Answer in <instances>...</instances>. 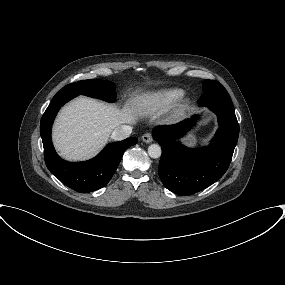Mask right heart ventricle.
Instances as JSON below:
<instances>
[{"label":"right heart ventricle","instance_id":"obj_1","mask_svg":"<svg viewBox=\"0 0 285 285\" xmlns=\"http://www.w3.org/2000/svg\"><path fill=\"white\" fill-rule=\"evenodd\" d=\"M183 95L184 91L180 88L162 89L145 96L142 106L152 111L163 110L178 102Z\"/></svg>","mask_w":285,"mask_h":285}]
</instances>
